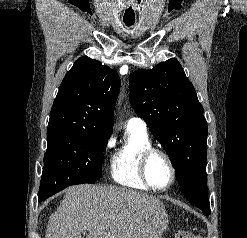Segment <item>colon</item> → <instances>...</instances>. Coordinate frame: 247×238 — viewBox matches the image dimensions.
Returning <instances> with one entry per match:
<instances>
[{
	"label": "colon",
	"instance_id": "colon-1",
	"mask_svg": "<svg viewBox=\"0 0 247 238\" xmlns=\"http://www.w3.org/2000/svg\"><path fill=\"white\" fill-rule=\"evenodd\" d=\"M175 238H200V237L194 235L193 233L189 231L181 230L177 232Z\"/></svg>",
	"mask_w": 247,
	"mask_h": 238
}]
</instances>
